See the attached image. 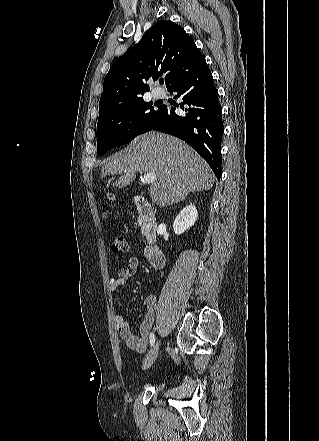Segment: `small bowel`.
Wrapping results in <instances>:
<instances>
[{
  "label": "small bowel",
  "instance_id": "1",
  "mask_svg": "<svg viewBox=\"0 0 319 441\" xmlns=\"http://www.w3.org/2000/svg\"><path fill=\"white\" fill-rule=\"evenodd\" d=\"M138 266L139 259L137 257H132L129 259L127 265L121 268L116 276L111 278L109 292L114 300L117 299L120 288L136 273ZM156 303L157 297L155 294H149L144 298L143 307L145 313L140 325L139 335H134L132 333L130 325L121 315L117 314L115 316V323L119 336L128 348L137 353H144L147 349L151 328L154 323Z\"/></svg>",
  "mask_w": 319,
  "mask_h": 441
}]
</instances>
